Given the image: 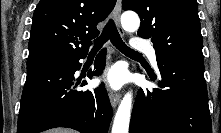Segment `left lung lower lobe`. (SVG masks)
<instances>
[{"instance_id": "1", "label": "left lung lower lobe", "mask_w": 221, "mask_h": 133, "mask_svg": "<svg viewBox=\"0 0 221 133\" xmlns=\"http://www.w3.org/2000/svg\"><path fill=\"white\" fill-rule=\"evenodd\" d=\"M156 56L166 89L138 91L130 133H212L204 62Z\"/></svg>"}]
</instances>
